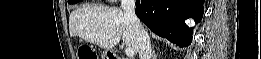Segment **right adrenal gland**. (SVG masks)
I'll return each instance as SVG.
<instances>
[{
    "instance_id": "right-adrenal-gland-1",
    "label": "right adrenal gland",
    "mask_w": 261,
    "mask_h": 59,
    "mask_svg": "<svg viewBox=\"0 0 261 59\" xmlns=\"http://www.w3.org/2000/svg\"><path fill=\"white\" fill-rule=\"evenodd\" d=\"M152 56H153V57H152L153 59H156V53H155L154 49H153V51H152Z\"/></svg>"
}]
</instances>
